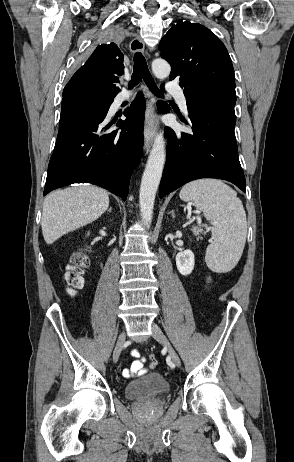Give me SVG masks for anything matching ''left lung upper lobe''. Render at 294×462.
<instances>
[{
	"instance_id": "left-lung-upper-lobe-1",
	"label": "left lung upper lobe",
	"mask_w": 294,
	"mask_h": 462,
	"mask_svg": "<svg viewBox=\"0 0 294 462\" xmlns=\"http://www.w3.org/2000/svg\"><path fill=\"white\" fill-rule=\"evenodd\" d=\"M159 50L172 67L170 79L179 78L186 100L213 94L236 101L231 58L221 40L205 26L178 22L162 38Z\"/></svg>"
}]
</instances>
